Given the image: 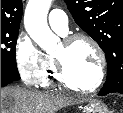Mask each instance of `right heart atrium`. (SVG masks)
<instances>
[{
  "label": "right heart atrium",
  "mask_w": 123,
  "mask_h": 113,
  "mask_svg": "<svg viewBox=\"0 0 123 113\" xmlns=\"http://www.w3.org/2000/svg\"><path fill=\"white\" fill-rule=\"evenodd\" d=\"M17 73L26 86H38L45 68V56L26 32H20L14 44Z\"/></svg>",
  "instance_id": "right-heart-atrium-1"
}]
</instances>
